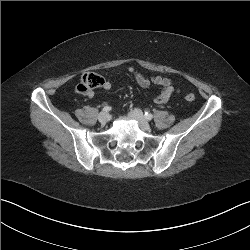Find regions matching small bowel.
Masks as SVG:
<instances>
[{
	"mask_svg": "<svg viewBox=\"0 0 250 250\" xmlns=\"http://www.w3.org/2000/svg\"><path fill=\"white\" fill-rule=\"evenodd\" d=\"M127 72L133 76L137 84L143 88H147L151 85L161 87L160 94L155 98V103L164 104L166 103L176 92L179 90L173 86L172 80L168 77L151 76L147 77L136 69L130 67ZM102 87L105 90L112 88V82L110 80H104ZM88 98H93L94 92L89 91L85 94Z\"/></svg>",
	"mask_w": 250,
	"mask_h": 250,
	"instance_id": "c3829d8e",
	"label": "small bowel"
}]
</instances>
